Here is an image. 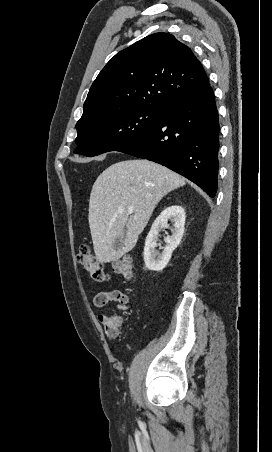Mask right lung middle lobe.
I'll return each mask as SVG.
<instances>
[{
    "label": "right lung middle lobe",
    "mask_w": 272,
    "mask_h": 452,
    "mask_svg": "<svg viewBox=\"0 0 272 452\" xmlns=\"http://www.w3.org/2000/svg\"><path fill=\"white\" fill-rule=\"evenodd\" d=\"M161 112L162 108L135 107L80 121L75 153L92 157L117 151L149 130Z\"/></svg>",
    "instance_id": "dd1d6c3e"
}]
</instances>
